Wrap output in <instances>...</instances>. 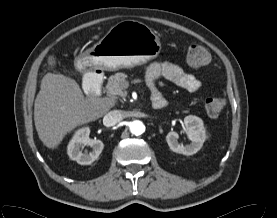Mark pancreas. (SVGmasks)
Returning <instances> with one entry per match:
<instances>
[{
	"mask_svg": "<svg viewBox=\"0 0 277 218\" xmlns=\"http://www.w3.org/2000/svg\"><path fill=\"white\" fill-rule=\"evenodd\" d=\"M127 75L125 73H116L111 75L106 85V91L111 96H125L124 90L127 88L126 81Z\"/></svg>",
	"mask_w": 277,
	"mask_h": 218,
	"instance_id": "1",
	"label": "pancreas"
}]
</instances>
